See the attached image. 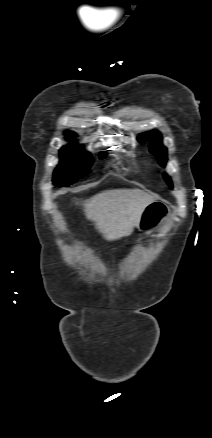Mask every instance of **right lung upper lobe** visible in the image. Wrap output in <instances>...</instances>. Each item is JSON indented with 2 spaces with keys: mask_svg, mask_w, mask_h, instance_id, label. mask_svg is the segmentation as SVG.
<instances>
[{
  "mask_svg": "<svg viewBox=\"0 0 212 438\" xmlns=\"http://www.w3.org/2000/svg\"><path fill=\"white\" fill-rule=\"evenodd\" d=\"M65 135L67 136V139L74 140V138H72V136H75L74 133H72V132H66Z\"/></svg>",
  "mask_w": 212,
  "mask_h": 438,
  "instance_id": "1",
  "label": "right lung upper lobe"
}]
</instances>
